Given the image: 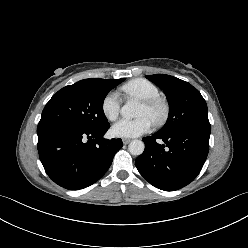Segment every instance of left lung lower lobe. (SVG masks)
<instances>
[{
    "label": "left lung lower lobe",
    "mask_w": 248,
    "mask_h": 248,
    "mask_svg": "<svg viewBox=\"0 0 248 248\" xmlns=\"http://www.w3.org/2000/svg\"><path fill=\"white\" fill-rule=\"evenodd\" d=\"M210 123L186 126L171 134L144 137V152L136 158L140 174L153 186L178 190L191 183L201 171L209 151ZM156 139H162L160 145Z\"/></svg>",
    "instance_id": "0a47b994"
}]
</instances>
